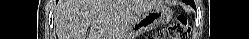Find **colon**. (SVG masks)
Returning a JSON list of instances; mask_svg holds the SVG:
<instances>
[{
  "label": "colon",
  "mask_w": 249,
  "mask_h": 39,
  "mask_svg": "<svg viewBox=\"0 0 249 39\" xmlns=\"http://www.w3.org/2000/svg\"><path fill=\"white\" fill-rule=\"evenodd\" d=\"M190 34L191 27L189 25V18L187 15L181 14L174 22L160 30V32L151 39H186Z\"/></svg>",
  "instance_id": "obj_1"
}]
</instances>
